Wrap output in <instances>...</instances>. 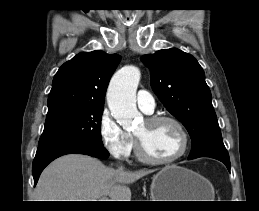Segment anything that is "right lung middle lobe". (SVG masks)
<instances>
[{
	"label": "right lung middle lobe",
	"mask_w": 259,
	"mask_h": 211,
	"mask_svg": "<svg viewBox=\"0 0 259 211\" xmlns=\"http://www.w3.org/2000/svg\"><path fill=\"white\" fill-rule=\"evenodd\" d=\"M103 107L84 108L46 120L38 146L60 141H77L103 146L101 117Z\"/></svg>",
	"instance_id": "dd1d6c3e"
}]
</instances>
